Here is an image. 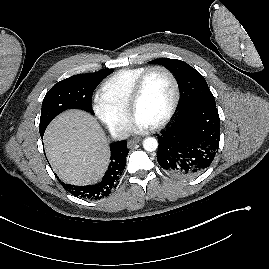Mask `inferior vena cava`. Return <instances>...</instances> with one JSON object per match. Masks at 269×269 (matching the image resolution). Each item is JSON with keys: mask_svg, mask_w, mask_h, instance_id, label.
<instances>
[{"mask_svg": "<svg viewBox=\"0 0 269 269\" xmlns=\"http://www.w3.org/2000/svg\"><path fill=\"white\" fill-rule=\"evenodd\" d=\"M129 135V130L123 127L111 130V136L114 140H125L129 137Z\"/></svg>", "mask_w": 269, "mask_h": 269, "instance_id": "inferior-vena-cava-1", "label": "inferior vena cava"}]
</instances>
